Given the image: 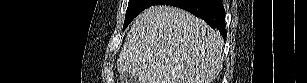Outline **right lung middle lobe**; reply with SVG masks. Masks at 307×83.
I'll return each instance as SVG.
<instances>
[{
    "label": "right lung middle lobe",
    "instance_id": "dd1d6c3e",
    "mask_svg": "<svg viewBox=\"0 0 307 83\" xmlns=\"http://www.w3.org/2000/svg\"><path fill=\"white\" fill-rule=\"evenodd\" d=\"M153 0H129L123 30L129 25L133 18L144 9L151 6Z\"/></svg>",
    "mask_w": 307,
    "mask_h": 83
}]
</instances>
